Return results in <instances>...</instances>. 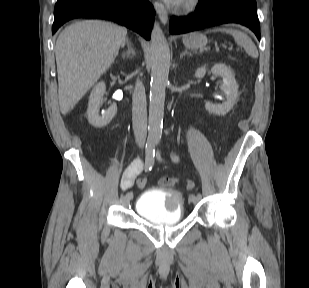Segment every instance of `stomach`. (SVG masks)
Listing matches in <instances>:
<instances>
[{"label": "stomach", "instance_id": "0dacf381", "mask_svg": "<svg viewBox=\"0 0 309 288\" xmlns=\"http://www.w3.org/2000/svg\"><path fill=\"white\" fill-rule=\"evenodd\" d=\"M183 44L189 49H199L207 44V38L200 33H189L184 35Z\"/></svg>", "mask_w": 309, "mask_h": 288}]
</instances>
